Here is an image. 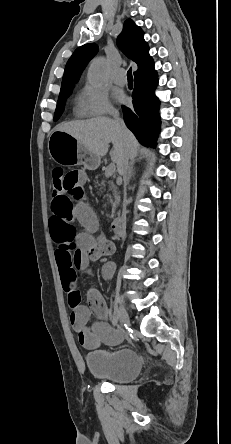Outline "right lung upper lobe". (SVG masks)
Segmentation results:
<instances>
[{
  "instance_id": "right-lung-upper-lobe-1",
  "label": "right lung upper lobe",
  "mask_w": 231,
  "mask_h": 444,
  "mask_svg": "<svg viewBox=\"0 0 231 444\" xmlns=\"http://www.w3.org/2000/svg\"><path fill=\"white\" fill-rule=\"evenodd\" d=\"M117 43L125 54L138 66L134 76L145 72L154 63L149 55V47L143 38V33L133 20L127 19L124 22L123 31L118 36ZM98 46L95 43L85 44L77 48L68 60L61 84V92L73 90L82 71L96 54Z\"/></svg>"
}]
</instances>
